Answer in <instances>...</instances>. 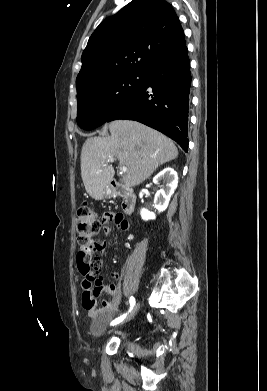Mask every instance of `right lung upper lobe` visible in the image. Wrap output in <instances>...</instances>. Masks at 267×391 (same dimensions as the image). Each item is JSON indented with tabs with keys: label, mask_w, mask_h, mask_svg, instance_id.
Returning a JSON list of instances; mask_svg holds the SVG:
<instances>
[{
	"label": "right lung upper lobe",
	"mask_w": 267,
	"mask_h": 391,
	"mask_svg": "<svg viewBox=\"0 0 267 391\" xmlns=\"http://www.w3.org/2000/svg\"><path fill=\"white\" fill-rule=\"evenodd\" d=\"M185 46L183 29L168 2L133 0L91 35L82 54L77 92L105 75L144 72L155 61Z\"/></svg>",
	"instance_id": "cb5924a9"
}]
</instances>
